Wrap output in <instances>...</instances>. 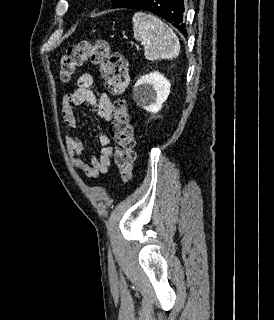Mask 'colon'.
<instances>
[{"mask_svg": "<svg viewBox=\"0 0 274 320\" xmlns=\"http://www.w3.org/2000/svg\"><path fill=\"white\" fill-rule=\"evenodd\" d=\"M89 62L100 67L111 93L121 97L116 105L112 122V137L115 140V160L123 180L133 173L135 158L134 128L131 117L125 111L122 97L129 85L128 63L122 54L110 50L107 42L82 43L70 46L59 58L58 72L63 81H69L76 71Z\"/></svg>", "mask_w": 274, "mask_h": 320, "instance_id": "colon-1", "label": "colon"}]
</instances>
